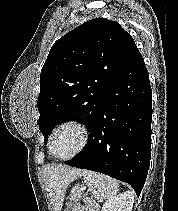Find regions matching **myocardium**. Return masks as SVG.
<instances>
[{
  "mask_svg": "<svg viewBox=\"0 0 178 211\" xmlns=\"http://www.w3.org/2000/svg\"><path fill=\"white\" fill-rule=\"evenodd\" d=\"M67 126H72V127H75L76 129L79 130V132L81 134V142H80L79 147L73 153H71L70 155H68V156H59L56 153V150H55V139H56V136H57L58 132L61 129L67 127ZM88 142H89V129H88V127L84 123H82L80 121L68 120V121H65V122L61 123L53 131L52 138H51V143H50L51 153L56 159L68 160V159H71V158L79 155L80 153H82L85 150V148L87 147Z\"/></svg>",
  "mask_w": 178,
  "mask_h": 211,
  "instance_id": "obj_1",
  "label": "myocardium"
}]
</instances>
